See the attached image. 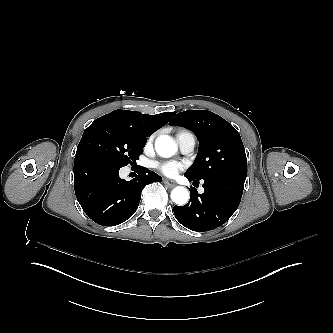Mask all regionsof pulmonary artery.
<instances>
[{"mask_svg": "<svg viewBox=\"0 0 333 333\" xmlns=\"http://www.w3.org/2000/svg\"><path fill=\"white\" fill-rule=\"evenodd\" d=\"M176 141L183 154H191L196 146V136L189 130H182L176 134Z\"/></svg>", "mask_w": 333, "mask_h": 333, "instance_id": "1", "label": "pulmonary artery"}]
</instances>
